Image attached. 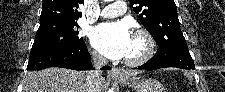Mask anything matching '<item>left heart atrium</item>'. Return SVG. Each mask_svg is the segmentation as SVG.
<instances>
[{"instance_id": "left-heart-atrium-1", "label": "left heart atrium", "mask_w": 225, "mask_h": 92, "mask_svg": "<svg viewBox=\"0 0 225 92\" xmlns=\"http://www.w3.org/2000/svg\"><path fill=\"white\" fill-rule=\"evenodd\" d=\"M91 43L109 59L124 58L132 43L130 27L125 21L102 23L92 30Z\"/></svg>"}]
</instances>
